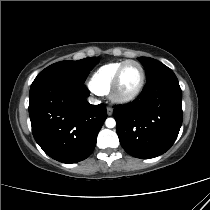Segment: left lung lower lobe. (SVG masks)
I'll list each match as a JSON object with an SVG mask.
<instances>
[{
  "label": "left lung lower lobe",
  "instance_id": "1",
  "mask_svg": "<svg viewBox=\"0 0 210 210\" xmlns=\"http://www.w3.org/2000/svg\"><path fill=\"white\" fill-rule=\"evenodd\" d=\"M182 91L172 70L148 80L131 103L114 107L117 134L124 150L141 159L165 153L182 124Z\"/></svg>",
  "mask_w": 210,
  "mask_h": 210
}]
</instances>
